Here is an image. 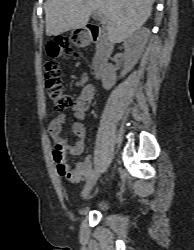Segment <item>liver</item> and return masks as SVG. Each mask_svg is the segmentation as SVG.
<instances>
[{
  "instance_id": "obj_1",
  "label": "liver",
  "mask_w": 194,
  "mask_h": 250,
  "mask_svg": "<svg viewBox=\"0 0 194 250\" xmlns=\"http://www.w3.org/2000/svg\"><path fill=\"white\" fill-rule=\"evenodd\" d=\"M154 0H47L46 35L57 36L85 27L93 12L107 18V36L121 43L150 17Z\"/></svg>"
}]
</instances>
